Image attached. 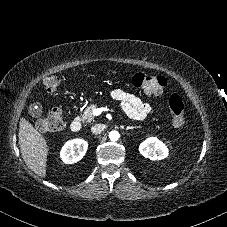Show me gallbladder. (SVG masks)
I'll use <instances>...</instances> for the list:
<instances>
[{
  "label": "gallbladder",
  "mask_w": 227,
  "mask_h": 227,
  "mask_svg": "<svg viewBox=\"0 0 227 227\" xmlns=\"http://www.w3.org/2000/svg\"><path fill=\"white\" fill-rule=\"evenodd\" d=\"M36 106H38V107H36ZM41 110H42V108L38 104L33 103L29 106V114L32 116L39 115L41 113Z\"/></svg>",
  "instance_id": "bac80fb5"
}]
</instances>
